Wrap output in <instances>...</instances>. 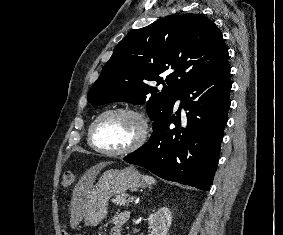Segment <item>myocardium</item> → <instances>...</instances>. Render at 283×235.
<instances>
[{
	"mask_svg": "<svg viewBox=\"0 0 283 235\" xmlns=\"http://www.w3.org/2000/svg\"><path fill=\"white\" fill-rule=\"evenodd\" d=\"M114 113H124L128 114L132 117H134L138 123H139V133L136 136L135 140L128 145L125 148L115 150V151H110V150H105L97 146L94 142V130L98 122L104 118L107 115L114 114ZM148 124L143 116L139 111L136 109L130 108V107H124V106H119V107H112L109 109L104 110L101 112L90 124L89 130H88V142L90 146L97 152L106 155V156H124V155H129L138 149H140L147 141L148 138Z\"/></svg>",
	"mask_w": 283,
	"mask_h": 235,
	"instance_id": "obj_1",
	"label": "myocardium"
}]
</instances>
